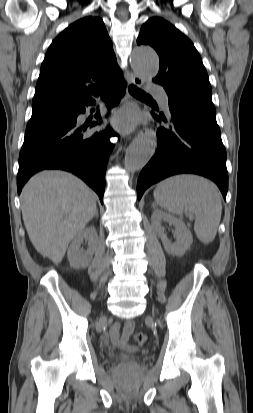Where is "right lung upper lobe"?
<instances>
[{"label":"right lung upper lobe","mask_w":253,"mask_h":413,"mask_svg":"<svg viewBox=\"0 0 253 413\" xmlns=\"http://www.w3.org/2000/svg\"><path fill=\"white\" fill-rule=\"evenodd\" d=\"M121 74L101 18L69 25L50 45L32 100V115L74 108L102 95Z\"/></svg>","instance_id":"1"}]
</instances>
